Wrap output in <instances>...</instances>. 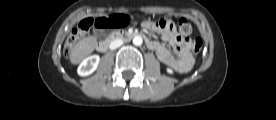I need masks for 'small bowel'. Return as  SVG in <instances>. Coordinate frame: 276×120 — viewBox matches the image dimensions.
<instances>
[{"label":"small bowel","instance_id":"1","mask_svg":"<svg viewBox=\"0 0 276 120\" xmlns=\"http://www.w3.org/2000/svg\"><path fill=\"white\" fill-rule=\"evenodd\" d=\"M142 26L146 30L158 33L173 48L177 58L162 43L148 40L149 44L147 46L156 52L162 63L180 73H186L192 68L193 59L189 52L190 42L176 32L173 24L170 27L162 28L158 25V22L144 21Z\"/></svg>","mask_w":276,"mask_h":120}]
</instances>
